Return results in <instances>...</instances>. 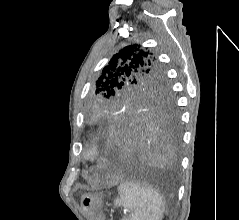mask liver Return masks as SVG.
<instances>
[{
	"instance_id": "liver-1",
	"label": "liver",
	"mask_w": 239,
	"mask_h": 220,
	"mask_svg": "<svg viewBox=\"0 0 239 220\" xmlns=\"http://www.w3.org/2000/svg\"><path fill=\"white\" fill-rule=\"evenodd\" d=\"M120 178L121 177L119 175H116L111 179V181L108 182V184L114 185L120 180Z\"/></svg>"
}]
</instances>
